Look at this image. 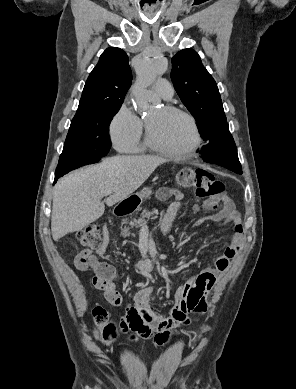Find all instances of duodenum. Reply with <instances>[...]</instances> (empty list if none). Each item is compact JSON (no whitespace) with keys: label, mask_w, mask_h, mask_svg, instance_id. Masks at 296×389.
Listing matches in <instances>:
<instances>
[{"label":"duodenum","mask_w":296,"mask_h":389,"mask_svg":"<svg viewBox=\"0 0 296 389\" xmlns=\"http://www.w3.org/2000/svg\"><path fill=\"white\" fill-rule=\"evenodd\" d=\"M138 205V202L134 200H126L120 203L116 208V214L119 216L132 213ZM158 261L157 257H149L138 261L135 265L138 272L145 274L152 270L155 263Z\"/></svg>","instance_id":"1"}]
</instances>
